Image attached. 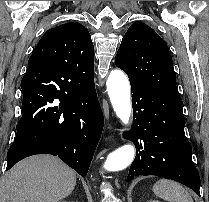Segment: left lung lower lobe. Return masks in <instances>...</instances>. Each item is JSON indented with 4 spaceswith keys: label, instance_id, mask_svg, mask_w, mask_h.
<instances>
[{
    "label": "left lung lower lobe",
    "instance_id": "1",
    "mask_svg": "<svg viewBox=\"0 0 209 202\" xmlns=\"http://www.w3.org/2000/svg\"><path fill=\"white\" fill-rule=\"evenodd\" d=\"M130 83L133 125L124 137L133 140L136 157L127 181L136 176H161L190 187L200 196V177L184 133L182 99Z\"/></svg>",
    "mask_w": 209,
    "mask_h": 202
}]
</instances>
